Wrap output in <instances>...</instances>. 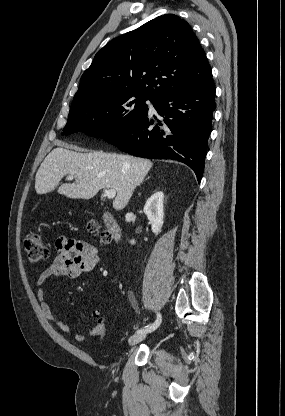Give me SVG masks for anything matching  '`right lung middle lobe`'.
Listing matches in <instances>:
<instances>
[{
  "instance_id": "1",
  "label": "right lung middle lobe",
  "mask_w": 285,
  "mask_h": 416,
  "mask_svg": "<svg viewBox=\"0 0 285 416\" xmlns=\"http://www.w3.org/2000/svg\"><path fill=\"white\" fill-rule=\"evenodd\" d=\"M146 100L149 99L126 96L72 110L62 135L80 130L92 137L106 139L119 134L147 116Z\"/></svg>"
}]
</instances>
